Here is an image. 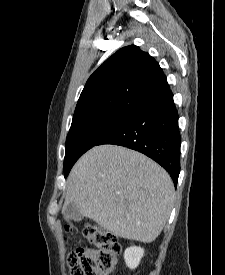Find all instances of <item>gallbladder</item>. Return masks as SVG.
Listing matches in <instances>:
<instances>
[{
  "mask_svg": "<svg viewBox=\"0 0 225 275\" xmlns=\"http://www.w3.org/2000/svg\"><path fill=\"white\" fill-rule=\"evenodd\" d=\"M64 218L68 221H81L84 216L82 215L80 209L75 203H70L63 212Z\"/></svg>",
  "mask_w": 225,
  "mask_h": 275,
  "instance_id": "obj_1",
  "label": "gallbladder"
}]
</instances>
